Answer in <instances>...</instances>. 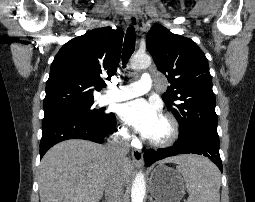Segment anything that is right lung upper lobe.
<instances>
[{
    "label": "right lung upper lobe",
    "instance_id": "cb5924a9",
    "mask_svg": "<svg viewBox=\"0 0 255 202\" xmlns=\"http://www.w3.org/2000/svg\"><path fill=\"white\" fill-rule=\"evenodd\" d=\"M123 31L102 27L67 42L55 56L43 107L45 114L94 102L93 90L105 86L120 61Z\"/></svg>",
    "mask_w": 255,
    "mask_h": 202
}]
</instances>
